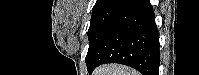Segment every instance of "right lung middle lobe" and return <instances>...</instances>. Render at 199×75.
I'll return each mask as SVG.
<instances>
[{"label":"right lung middle lobe","instance_id":"1","mask_svg":"<svg viewBox=\"0 0 199 75\" xmlns=\"http://www.w3.org/2000/svg\"><path fill=\"white\" fill-rule=\"evenodd\" d=\"M127 2L128 0H111L93 7L91 23L88 29L89 49L85 59L86 63L90 60L107 27Z\"/></svg>","mask_w":199,"mask_h":75}]
</instances>
